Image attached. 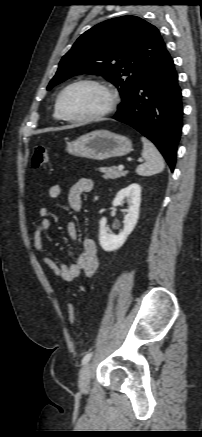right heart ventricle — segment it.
<instances>
[{
	"instance_id": "1",
	"label": "right heart ventricle",
	"mask_w": 202,
	"mask_h": 437,
	"mask_svg": "<svg viewBox=\"0 0 202 437\" xmlns=\"http://www.w3.org/2000/svg\"><path fill=\"white\" fill-rule=\"evenodd\" d=\"M54 117H55L56 119H61L60 116H59V114H58V112H57L56 104H55V107H54Z\"/></svg>"
}]
</instances>
